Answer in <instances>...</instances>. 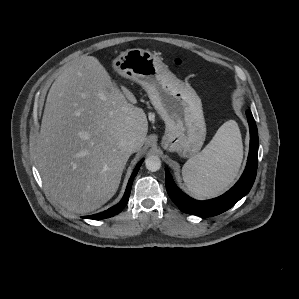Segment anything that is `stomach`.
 Listing matches in <instances>:
<instances>
[{"mask_svg": "<svg viewBox=\"0 0 299 299\" xmlns=\"http://www.w3.org/2000/svg\"><path fill=\"white\" fill-rule=\"evenodd\" d=\"M120 75L140 84L166 124L162 147L181 157L195 156L206 137L202 103L187 83L179 80L148 50L129 49L114 61Z\"/></svg>", "mask_w": 299, "mask_h": 299, "instance_id": "1", "label": "stomach"}]
</instances>
